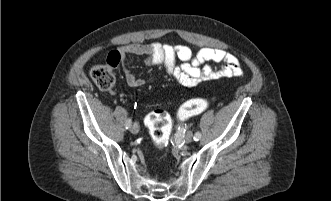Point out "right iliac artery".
<instances>
[{
	"label": "right iliac artery",
	"instance_id": "right-iliac-artery-1",
	"mask_svg": "<svg viewBox=\"0 0 331 201\" xmlns=\"http://www.w3.org/2000/svg\"><path fill=\"white\" fill-rule=\"evenodd\" d=\"M131 125H132L131 119H127L126 123H125L126 129H129L131 127Z\"/></svg>",
	"mask_w": 331,
	"mask_h": 201
}]
</instances>
